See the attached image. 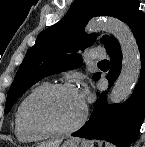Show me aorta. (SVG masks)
Segmentation results:
<instances>
[{"mask_svg": "<svg viewBox=\"0 0 145 147\" xmlns=\"http://www.w3.org/2000/svg\"><path fill=\"white\" fill-rule=\"evenodd\" d=\"M88 28L90 30L104 29L120 44L122 51L121 73L109 95V103L123 102L132 93L141 71L140 52L136 39L132 31L116 18L92 22L88 25Z\"/></svg>", "mask_w": 145, "mask_h": 147, "instance_id": "1", "label": "aorta"}]
</instances>
